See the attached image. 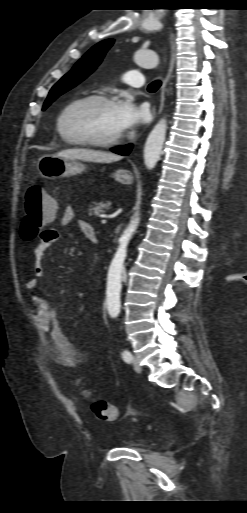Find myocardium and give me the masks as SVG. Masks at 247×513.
Returning a JSON list of instances; mask_svg holds the SVG:
<instances>
[{"label":"myocardium","mask_w":247,"mask_h":513,"mask_svg":"<svg viewBox=\"0 0 247 513\" xmlns=\"http://www.w3.org/2000/svg\"><path fill=\"white\" fill-rule=\"evenodd\" d=\"M89 101H98L108 104H116L115 100L108 95L99 94V93H93L88 94L84 96H80L73 101L67 103L59 112L57 119H56V129L60 136L65 139L70 144H76V145H84V146H93V147H110L118 144L122 140V133L103 140H94V139H87V138H74L69 135H67L62 127L63 120L67 114V112L76 104L83 103V102H89Z\"/></svg>","instance_id":"1"}]
</instances>
